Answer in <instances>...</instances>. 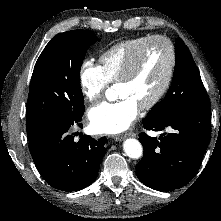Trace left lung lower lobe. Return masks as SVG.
<instances>
[{
	"label": "left lung lower lobe",
	"instance_id": "obj_1",
	"mask_svg": "<svg viewBox=\"0 0 221 221\" xmlns=\"http://www.w3.org/2000/svg\"><path fill=\"white\" fill-rule=\"evenodd\" d=\"M144 128L161 131L159 140L139 134L144 153L136 165L139 180L158 191H171L188 184L196 175L211 137L210 101L200 105H178L161 120L145 117Z\"/></svg>",
	"mask_w": 221,
	"mask_h": 221
}]
</instances>
